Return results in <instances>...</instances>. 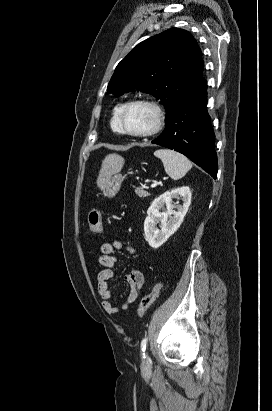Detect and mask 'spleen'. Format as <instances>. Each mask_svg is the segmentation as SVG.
I'll use <instances>...</instances> for the list:
<instances>
[{"label": "spleen", "instance_id": "1", "mask_svg": "<svg viewBox=\"0 0 272 411\" xmlns=\"http://www.w3.org/2000/svg\"><path fill=\"white\" fill-rule=\"evenodd\" d=\"M154 156L160 158L166 173L173 179L179 180L192 168L190 160L181 153L169 149H159Z\"/></svg>", "mask_w": 272, "mask_h": 411}]
</instances>
